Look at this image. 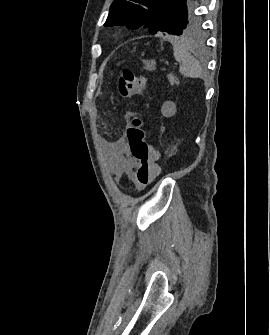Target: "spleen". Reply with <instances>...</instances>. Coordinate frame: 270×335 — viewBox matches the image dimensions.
<instances>
[{
    "label": "spleen",
    "instance_id": "obj_1",
    "mask_svg": "<svg viewBox=\"0 0 270 335\" xmlns=\"http://www.w3.org/2000/svg\"><path fill=\"white\" fill-rule=\"evenodd\" d=\"M170 42L173 46L174 58L176 62L181 63L179 68L180 74L185 76V78H200L202 68L198 60L193 58L190 52H188L186 42H184L183 38H172Z\"/></svg>",
    "mask_w": 270,
    "mask_h": 335
}]
</instances>
